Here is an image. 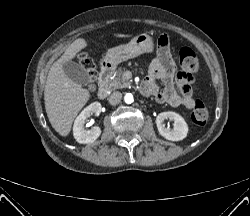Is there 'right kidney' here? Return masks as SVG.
Here are the masks:
<instances>
[{"label": "right kidney", "instance_id": "ca27d5eb", "mask_svg": "<svg viewBox=\"0 0 250 216\" xmlns=\"http://www.w3.org/2000/svg\"><path fill=\"white\" fill-rule=\"evenodd\" d=\"M100 112L101 104L99 102H93L77 116L73 125V136L78 143H92L100 136L101 129L98 126H93L89 130H86L84 127L87 119L92 114L98 116Z\"/></svg>", "mask_w": 250, "mask_h": 216}]
</instances>
